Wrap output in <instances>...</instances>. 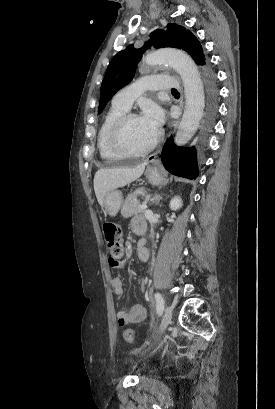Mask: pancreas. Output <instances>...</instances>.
<instances>
[{
    "label": "pancreas",
    "mask_w": 275,
    "mask_h": 409,
    "mask_svg": "<svg viewBox=\"0 0 275 409\" xmlns=\"http://www.w3.org/2000/svg\"><path fill=\"white\" fill-rule=\"evenodd\" d=\"M147 190L145 186L141 188H136L134 192L128 194L126 200H124V205L121 209V215L127 219V217H132L134 213H144L145 209H139L140 202L137 200L138 194H146Z\"/></svg>",
    "instance_id": "1"
}]
</instances>
